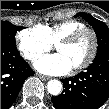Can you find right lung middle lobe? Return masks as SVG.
I'll return each instance as SVG.
<instances>
[{
	"label": "right lung middle lobe",
	"instance_id": "right-lung-middle-lobe-1",
	"mask_svg": "<svg viewBox=\"0 0 109 109\" xmlns=\"http://www.w3.org/2000/svg\"><path fill=\"white\" fill-rule=\"evenodd\" d=\"M21 26H16L7 21H1V47L17 50L15 43V33L21 30Z\"/></svg>",
	"mask_w": 109,
	"mask_h": 109
}]
</instances>
